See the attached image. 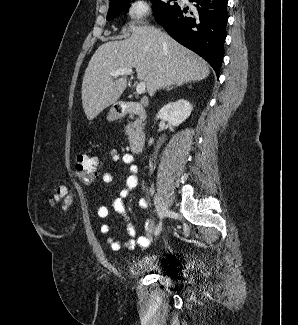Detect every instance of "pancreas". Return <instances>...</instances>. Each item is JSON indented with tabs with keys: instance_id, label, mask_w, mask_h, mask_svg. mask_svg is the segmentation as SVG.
Wrapping results in <instances>:
<instances>
[{
	"instance_id": "1",
	"label": "pancreas",
	"mask_w": 298,
	"mask_h": 325,
	"mask_svg": "<svg viewBox=\"0 0 298 325\" xmlns=\"http://www.w3.org/2000/svg\"><path fill=\"white\" fill-rule=\"evenodd\" d=\"M144 118H145V114L143 112V114H141L140 120H136V122H129V124H127V126H125L126 134H131V132H132V130H134V128H138L139 124H143ZM141 128H142V126H141Z\"/></svg>"
}]
</instances>
